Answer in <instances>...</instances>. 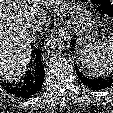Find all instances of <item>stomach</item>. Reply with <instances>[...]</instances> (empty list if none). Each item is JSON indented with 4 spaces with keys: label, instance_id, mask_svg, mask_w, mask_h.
<instances>
[{
    "label": "stomach",
    "instance_id": "obj_1",
    "mask_svg": "<svg viewBox=\"0 0 113 113\" xmlns=\"http://www.w3.org/2000/svg\"><path fill=\"white\" fill-rule=\"evenodd\" d=\"M72 23L78 36V44L82 48L93 45L99 32V21L82 5L73 7Z\"/></svg>",
    "mask_w": 113,
    "mask_h": 113
}]
</instances>
